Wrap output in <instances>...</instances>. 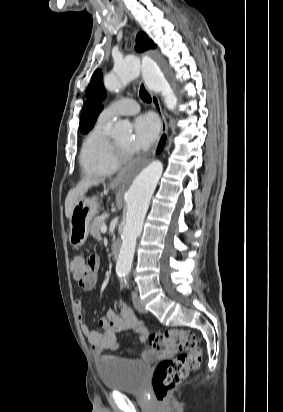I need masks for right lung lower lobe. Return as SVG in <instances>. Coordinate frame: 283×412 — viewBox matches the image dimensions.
Wrapping results in <instances>:
<instances>
[{"instance_id": "98d812e1", "label": "right lung lower lobe", "mask_w": 283, "mask_h": 412, "mask_svg": "<svg viewBox=\"0 0 283 412\" xmlns=\"http://www.w3.org/2000/svg\"><path fill=\"white\" fill-rule=\"evenodd\" d=\"M165 141H166V137L163 136L162 139H161V141H160V144H159V147H158L157 152H160V151L163 149V147H164V145H165Z\"/></svg>"}]
</instances>
